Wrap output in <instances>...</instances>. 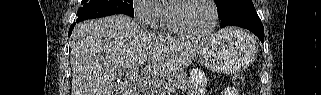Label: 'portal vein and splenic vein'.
Returning a JSON list of instances; mask_svg holds the SVG:
<instances>
[{
    "mask_svg": "<svg viewBox=\"0 0 321 95\" xmlns=\"http://www.w3.org/2000/svg\"><path fill=\"white\" fill-rule=\"evenodd\" d=\"M130 79L138 85H145L150 88H160L162 84V80H155L150 78L149 76H146V77L138 76V71L133 72V74L130 76Z\"/></svg>",
    "mask_w": 321,
    "mask_h": 95,
    "instance_id": "18ae733b",
    "label": "portal vein and splenic vein"
}]
</instances>
